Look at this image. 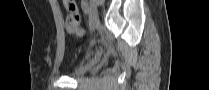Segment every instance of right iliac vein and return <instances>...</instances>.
Masks as SVG:
<instances>
[{
    "label": "right iliac vein",
    "mask_w": 209,
    "mask_h": 90,
    "mask_svg": "<svg viewBox=\"0 0 209 90\" xmlns=\"http://www.w3.org/2000/svg\"><path fill=\"white\" fill-rule=\"evenodd\" d=\"M98 24V13L94 4L90 7V18H89V26L90 30L93 31Z\"/></svg>",
    "instance_id": "right-iliac-vein-1"
}]
</instances>
